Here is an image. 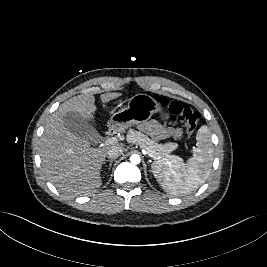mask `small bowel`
<instances>
[{
	"mask_svg": "<svg viewBox=\"0 0 267 267\" xmlns=\"http://www.w3.org/2000/svg\"><path fill=\"white\" fill-rule=\"evenodd\" d=\"M141 129L157 139H164L167 136L178 138L182 134L181 129H164L158 122L149 121L141 125Z\"/></svg>",
	"mask_w": 267,
	"mask_h": 267,
	"instance_id": "small-bowel-1",
	"label": "small bowel"
}]
</instances>
